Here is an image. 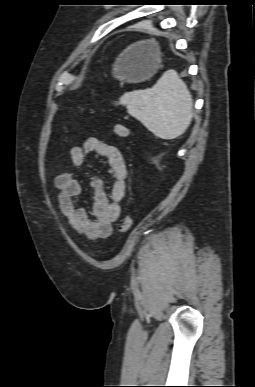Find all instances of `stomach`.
<instances>
[{
    "mask_svg": "<svg viewBox=\"0 0 255 387\" xmlns=\"http://www.w3.org/2000/svg\"><path fill=\"white\" fill-rule=\"evenodd\" d=\"M161 67V53L152 41L128 47L117 59L113 75L123 82H141L151 78Z\"/></svg>",
    "mask_w": 255,
    "mask_h": 387,
    "instance_id": "obj_1",
    "label": "stomach"
}]
</instances>
